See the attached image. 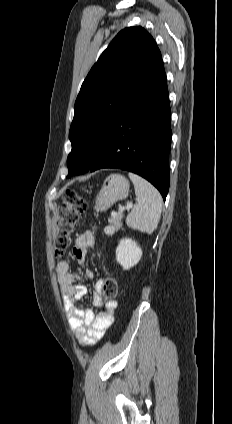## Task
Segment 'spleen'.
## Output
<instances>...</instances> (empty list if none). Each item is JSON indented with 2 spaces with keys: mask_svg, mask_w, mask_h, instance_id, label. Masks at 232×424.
<instances>
[{
  "mask_svg": "<svg viewBox=\"0 0 232 424\" xmlns=\"http://www.w3.org/2000/svg\"><path fill=\"white\" fill-rule=\"evenodd\" d=\"M134 184L137 203L126 218V224L147 234L157 228L162 211V197L159 191L139 175L129 173Z\"/></svg>",
  "mask_w": 232,
  "mask_h": 424,
  "instance_id": "3e777b00",
  "label": "spleen"
}]
</instances>
